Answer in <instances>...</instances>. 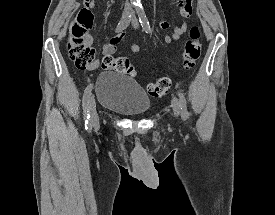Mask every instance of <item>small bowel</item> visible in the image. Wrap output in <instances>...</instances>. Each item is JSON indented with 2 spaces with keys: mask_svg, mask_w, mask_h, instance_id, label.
Instances as JSON below:
<instances>
[{
  "mask_svg": "<svg viewBox=\"0 0 275 215\" xmlns=\"http://www.w3.org/2000/svg\"><path fill=\"white\" fill-rule=\"evenodd\" d=\"M173 3L178 6L179 13L183 18H188L192 14V0H173ZM98 3L97 0H91L90 8L95 9ZM159 26L163 29H167L169 27V22L166 20H160ZM188 24L183 22L172 31L167 33L164 37L165 43H170L173 40H178L181 36L187 31ZM119 33V32H118ZM124 33L120 31V33L114 36L107 44L102 47V55H111L117 48L120 41L123 39ZM88 41L90 44L93 43V38L89 35ZM130 49L133 53H139L140 47L137 44H131ZM100 65V60L95 59L91 64L87 66L88 70H93L98 68Z\"/></svg>",
  "mask_w": 275,
  "mask_h": 215,
  "instance_id": "1",
  "label": "small bowel"
}]
</instances>
